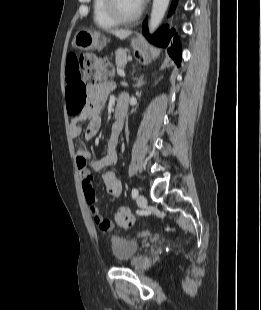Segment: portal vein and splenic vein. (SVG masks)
I'll return each mask as SVG.
<instances>
[{
	"label": "portal vein and splenic vein",
	"instance_id": "portal-vein-and-splenic-vein-1",
	"mask_svg": "<svg viewBox=\"0 0 261 310\" xmlns=\"http://www.w3.org/2000/svg\"><path fill=\"white\" fill-rule=\"evenodd\" d=\"M117 73H118V75H120L122 77H125V73H124V71L122 69H118Z\"/></svg>",
	"mask_w": 261,
	"mask_h": 310
}]
</instances>
